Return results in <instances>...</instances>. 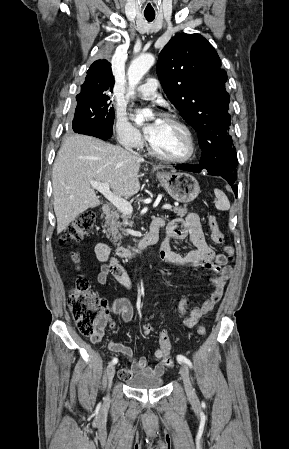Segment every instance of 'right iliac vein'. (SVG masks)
I'll list each match as a JSON object with an SVG mask.
<instances>
[{"instance_id": "63e3f726", "label": "right iliac vein", "mask_w": 289, "mask_h": 449, "mask_svg": "<svg viewBox=\"0 0 289 449\" xmlns=\"http://www.w3.org/2000/svg\"><path fill=\"white\" fill-rule=\"evenodd\" d=\"M108 387L110 388L112 384L113 377L115 375V366L113 364H109L106 370Z\"/></svg>"}]
</instances>
